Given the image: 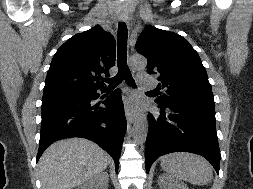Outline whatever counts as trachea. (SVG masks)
<instances>
[{
  "label": "trachea",
  "instance_id": "3493384b",
  "mask_svg": "<svg viewBox=\"0 0 253 189\" xmlns=\"http://www.w3.org/2000/svg\"><path fill=\"white\" fill-rule=\"evenodd\" d=\"M127 38L128 31L125 23L118 24L117 32V66L118 73L115 77L103 79L106 83L109 84V88H115L123 80L127 85L136 88L135 81L131 75L130 69L127 65Z\"/></svg>",
  "mask_w": 253,
  "mask_h": 189
}]
</instances>
